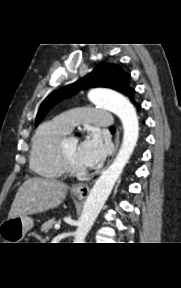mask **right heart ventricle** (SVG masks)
I'll return each instance as SVG.
<instances>
[{"label":"right heart ventricle","instance_id":"e07e8e85","mask_svg":"<svg viewBox=\"0 0 181 288\" xmlns=\"http://www.w3.org/2000/svg\"><path fill=\"white\" fill-rule=\"evenodd\" d=\"M68 133L56 120L45 122L36 130L32 139L30 168L37 175L58 179L66 173L58 150Z\"/></svg>","mask_w":181,"mask_h":288}]
</instances>
